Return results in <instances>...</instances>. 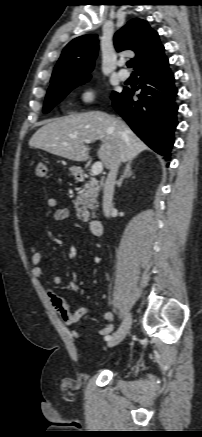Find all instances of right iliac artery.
I'll return each instance as SVG.
<instances>
[{"label": "right iliac artery", "mask_w": 202, "mask_h": 437, "mask_svg": "<svg viewBox=\"0 0 202 437\" xmlns=\"http://www.w3.org/2000/svg\"><path fill=\"white\" fill-rule=\"evenodd\" d=\"M112 338V336L108 335L105 337V340L109 341Z\"/></svg>", "instance_id": "82829eb1"}]
</instances>
